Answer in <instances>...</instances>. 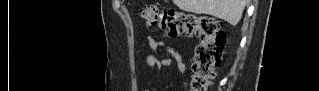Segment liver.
<instances>
[{"mask_svg":"<svg viewBox=\"0 0 319 91\" xmlns=\"http://www.w3.org/2000/svg\"><path fill=\"white\" fill-rule=\"evenodd\" d=\"M183 11L208 14L231 25L240 21L247 0H173Z\"/></svg>","mask_w":319,"mask_h":91,"instance_id":"liver-1","label":"liver"}]
</instances>
